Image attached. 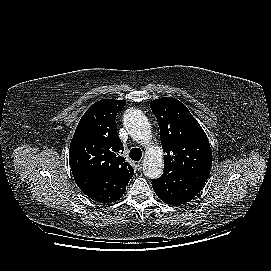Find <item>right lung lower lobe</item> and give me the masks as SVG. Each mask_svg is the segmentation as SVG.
Segmentation results:
<instances>
[{"instance_id":"98d812e1","label":"right lung lower lobe","mask_w":271,"mask_h":271,"mask_svg":"<svg viewBox=\"0 0 271 271\" xmlns=\"http://www.w3.org/2000/svg\"><path fill=\"white\" fill-rule=\"evenodd\" d=\"M73 177L85 195L101 203L114 202L126 191L127 184L117 178L91 172H76Z\"/></svg>"}]
</instances>
